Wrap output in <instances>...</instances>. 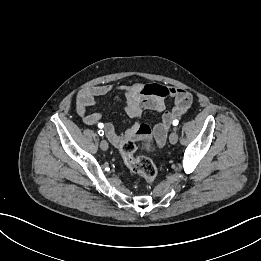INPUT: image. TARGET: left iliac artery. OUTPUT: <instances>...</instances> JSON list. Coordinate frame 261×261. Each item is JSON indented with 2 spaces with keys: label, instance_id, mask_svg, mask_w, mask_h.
I'll return each mask as SVG.
<instances>
[{
  "label": "left iliac artery",
  "instance_id": "1",
  "mask_svg": "<svg viewBox=\"0 0 261 261\" xmlns=\"http://www.w3.org/2000/svg\"><path fill=\"white\" fill-rule=\"evenodd\" d=\"M178 123H179V121H178L177 119L173 121V125H174V126H177Z\"/></svg>",
  "mask_w": 261,
  "mask_h": 261
}]
</instances>
